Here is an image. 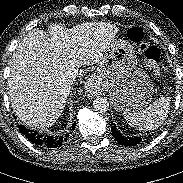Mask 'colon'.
Returning a JSON list of instances; mask_svg holds the SVG:
<instances>
[{
    "label": "colon",
    "mask_w": 183,
    "mask_h": 183,
    "mask_svg": "<svg viewBox=\"0 0 183 183\" xmlns=\"http://www.w3.org/2000/svg\"><path fill=\"white\" fill-rule=\"evenodd\" d=\"M128 38L137 43L139 51L146 62L151 66L152 70L156 73L159 72V63L161 60V51L158 47L148 44L143 41L144 33L139 27H132L127 31Z\"/></svg>",
    "instance_id": "colon-1"
}]
</instances>
